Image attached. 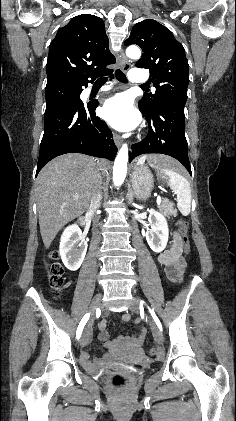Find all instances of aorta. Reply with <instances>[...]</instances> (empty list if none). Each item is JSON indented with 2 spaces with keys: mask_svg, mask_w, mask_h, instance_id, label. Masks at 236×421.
<instances>
[{
  "mask_svg": "<svg viewBox=\"0 0 236 421\" xmlns=\"http://www.w3.org/2000/svg\"><path fill=\"white\" fill-rule=\"evenodd\" d=\"M126 54L129 58H140L141 50L138 46H128ZM128 164V144H122L113 166V182L115 186H120L125 180Z\"/></svg>",
  "mask_w": 236,
  "mask_h": 421,
  "instance_id": "762f6f07",
  "label": "aorta"
}]
</instances>
